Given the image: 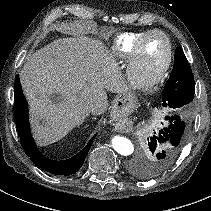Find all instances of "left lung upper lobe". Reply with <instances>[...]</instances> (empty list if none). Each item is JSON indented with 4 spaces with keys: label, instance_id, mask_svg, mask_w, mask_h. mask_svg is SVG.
<instances>
[{
    "label": "left lung upper lobe",
    "instance_id": "5c2ea615",
    "mask_svg": "<svg viewBox=\"0 0 211 211\" xmlns=\"http://www.w3.org/2000/svg\"><path fill=\"white\" fill-rule=\"evenodd\" d=\"M194 93L195 83L192 70L183 50L177 47L174 56V67L162 93V105L173 110L188 111Z\"/></svg>",
    "mask_w": 211,
    "mask_h": 211
}]
</instances>
